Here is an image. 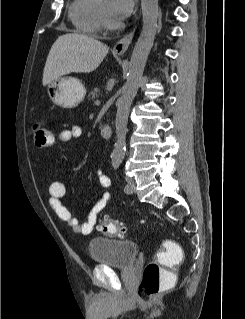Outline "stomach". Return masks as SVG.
Wrapping results in <instances>:
<instances>
[{"label":"stomach","instance_id":"obj_1","mask_svg":"<svg viewBox=\"0 0 245 319\" xmlns=\"http://www.w3.org/2000/svg\"><path fill=\"white\" fill-rule=\"evenodd\" d=\"M47 92L55 105L70 109L83 101L86 89L75 77H60L48 83Z\"/></svg>","mask_w":245,"mask_h":319}]
</instances>
